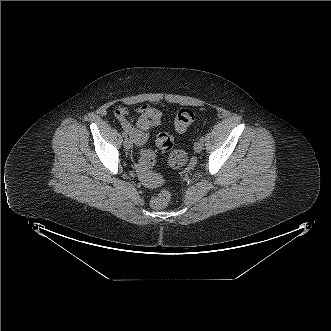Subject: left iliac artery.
I'll return each instance as SVG.
<instances>
[{
	"mask_svg": "<svg viewBox=\"0 0 331 331\" xmlns=\"http://www.w3.org/2000/svg\"><path fill=\"white\" fill-rule=\"evenodd\" d=\"M200 141H201L202 143L204 142V137H203V136L200 137Z\"/></svg>",
	"mask_w": 331,
	"mask_h": 331,
	"instance_id": "left-iliac-artery-1",
	"label": "left iliac artery"
}]
</instances>
